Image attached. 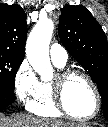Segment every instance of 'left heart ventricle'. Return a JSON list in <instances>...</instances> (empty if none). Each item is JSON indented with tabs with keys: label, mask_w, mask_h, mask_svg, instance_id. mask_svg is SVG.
Segmentation results:
<instances>
[{
	"label": "left heart ventricle",
	"mask_w": 108,
	"mask_h": 127,
	"mask_svg": "<svg viewBox=\"0 0 108 127\" xmlns=\"http://www.w3.org/2000/svg\"><path fill=\"white\" fill-rule=\"evenodd\" d=\"M65 102L75 115L89 116L95 109L96 98L91 86L83 77L73 76L65 88Z\"/></svg>",
	"instance_id": "obj_1"
}]
</instances>
